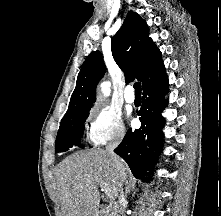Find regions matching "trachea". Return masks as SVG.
<instances>
[{"label": "trachea", "mask_w": 221, "mask_h": 216, "mask_svg": "<svg viewBox=\"0 0 221 216\" xmlns=\"http://www.w3.org/2000/svg\"><path fill=\"white\" fill-rule=\"evenodd\" d=\"M134 89H135V93H141V83L140 82H136L134 84Z\"/></svg>", "instance_id": "obj_1"}]
</instances>
